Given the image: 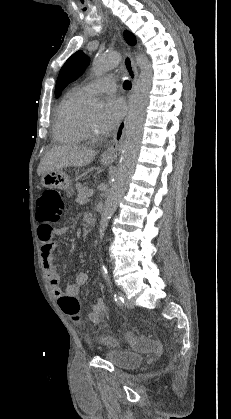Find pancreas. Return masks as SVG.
Instances as JSON below:
<instances>
[{"instance_id": "1", "label": "pancreas", "mask_w": 231, "mask_h": 419, "mask_svg": "<svg viewBox=\"0 0 231 419\" xmlns=\"http://www.w3.org/2000/svg\"><path fill=\"white\" fill-rule=\"evenodd\" d=\"M76 189L78 192L76 202L80 205L87 204L89 201L88 196H87V191L89 189L87 187L81 186L79 183L76 184Z\"/></svg>"}]
</instances>
